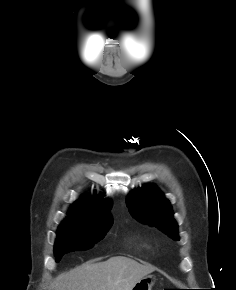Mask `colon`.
I'll list each match as a JSON object with an SVG mask.
<instances>
[{
  "mask_svg": "<svg viewBox=\"0 0 236 290\" xmlns=\"http://www.w3.org/2000/svg\"><path fill=\"white\" fill-rule=\"evenodd\" d=\"M163 290H175V289H163Z\"/></svg>",
  "mask_w": 236,
  "mask_h": 290,
  "instance_id": "5ec220e1",
  "label": "colon"
}]
</instances>
